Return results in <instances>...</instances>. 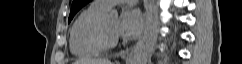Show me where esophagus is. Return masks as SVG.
Instances as JSON below:
<instances>
[{
	"label": "esophagus",
	"mask_w": 242,
	"mask_h": 64,
	"mask_svg": "<svg viewBox=\"0 0 242 64\" xmlns=\"http://www.w3.org/2000/svg\"><path fill=\"white\" fill-rule=\"evenodd\" d=\"M148 36V19H145V28H144V32L143 35L141 36V38L138 40V42L136 43V45L134 47H132L131 49L126 51V56L123 57V60L126 63H129L132 59V56L139 50V48L144 44V42L146 41Z\"/></svg>",
	"instance_id": "obj_1"
}]
</instances>
